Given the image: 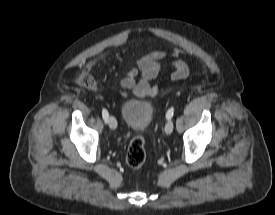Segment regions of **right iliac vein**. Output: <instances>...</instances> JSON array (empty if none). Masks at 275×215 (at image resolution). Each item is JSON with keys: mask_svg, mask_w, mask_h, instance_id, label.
<instances>
[{"mask_svg": "<svg viewBox=\"0 0 275 215\" xmlns=\"http://www.w3.org/2000/svg\"><path fill=\"white\" fill-rule=\"evenodd\" d=\"M107 121H108V125L111 129L114 130L117 128V121H116L115 117L109 116Z\"/></svg>", "mask_w": 275, "mask_h": 215, "instance_id": "right-iliac-vein-1", "label": "right iliac vein"}]
</instances>
